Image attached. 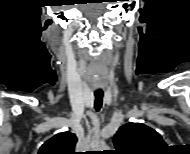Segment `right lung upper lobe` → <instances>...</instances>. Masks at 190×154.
Segmentation results:
<instances>
[{
	"label": "right lung upper lobe",
	"mask_w": 190,
	"mask_h": 154,
	"mask_svg": "<svg viewBox=\"0 0 190 154\" xmlns=\"http://www.w3.org/2000/svg\"><path fill=\"white\" fill-rule=\"evenodd\" d=\"M76 142L75 134L70 132L58 133L40 147L38 154H76L74 152Z\"/></svg>",
	"instance_id": "1"
}]
</instances>
